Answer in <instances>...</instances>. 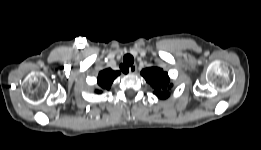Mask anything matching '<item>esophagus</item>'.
<instances>
[{
	"mask_svg": "<svg viewBox=\"0 0 261 150\" xmlns=\"http://www.w3.org/2000/svg\"><path fill=\"white\" fill-rule=\"evenodd\" d=\"M136 71H137V66H136V65H131V66L129 67V73H130V74H135Z\"/></svg>",
	"mask_w": 261,
	"mask_h": 150,
	"instance_id": "esophagus-1",
	"label": "esophagus"
}]
</instances>
